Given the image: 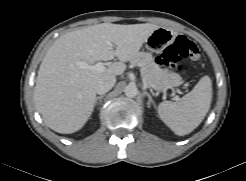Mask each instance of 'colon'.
<instances>
[{
  "mask_svg": "<svg viewBox=\"0 0 246 181\" xmlns=\"http://www.w3.org/2000/svg\"><path fill=\"white\" fill-rule=\"evenodd\" d=\"M182 59H190L194 62L201 61V54L197 46L184 36H178L161 54L160 62L172 70L182 72L180 65Z\"/></svg>",
  "mask_w": 246,
  "mask_h": 181,
  "instance_id": "5ec220e1",
  "label": "colon"
}]
</instances>
